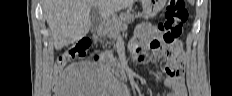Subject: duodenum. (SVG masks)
Here are the masks:
<instances>
[{
    "label": "duodenum",
    "instance_id": "duodenum-1",
    "mask_svg": "<svg viewBox=\"0 0 232 96\" xmlns=\"http://www.w3.org/2000/svg\"><path fill=\"white\" fill-rule=\"evenodd\" d=\"M111 67L113 70H115V72L117 73L118 76H125L126 75L125 69L122 66L117 65L115 63H112Z\"/></svg>",
    "mask_w": 232,
    "mask_h": 96
}]
</instances>
